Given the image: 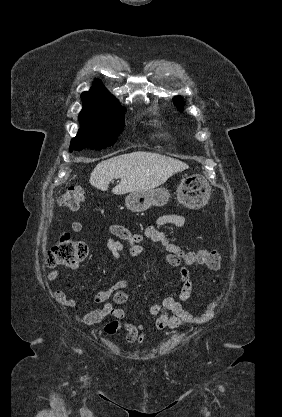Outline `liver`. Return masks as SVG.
<instances>
[{
    "label": "liver",
    "instance_id": "obj_1",
    "mask_svg": "<svg viewBox=\"0 0 282 417\" xmlns=\"http://www.w3.org/2000/svg\"><path fill=\"white\" fill-rule=\"evenodd\" d=\"M185 168H188V164L177 158L159 152L136 150L98 162L90 174L89 182L99 190H108L112 178H121V182L112 188V192L126 194L160 186L175 172H181Z\"/></svg>",
    "mask_w": 282,
    "mask_h": 417
}]
</instances>
